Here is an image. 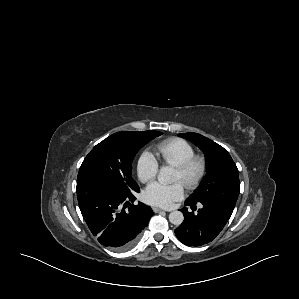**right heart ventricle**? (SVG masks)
Returning <instances> with one entry per match:
<instances>
[{"label":"right heart ventricle","mask_w":299,"mask_h":299,"mask_svg":"<svg viewBox=\"0 0 299 299\" xmlns=\"http://www.w3.org/2000/svg\"><path fill=\"white\" fill-rule=\"evenodd\" d=\"M156 152L167 165L177 166L195 154L193 146L184 139L173 137L156 145Z\"/></svg>","instance_id":"right-heart-ventricle-1"}]
</instances>
